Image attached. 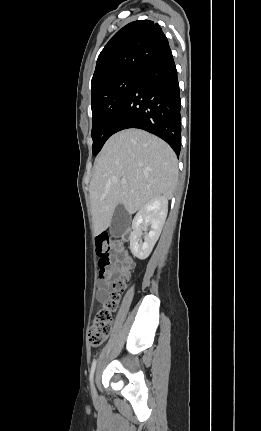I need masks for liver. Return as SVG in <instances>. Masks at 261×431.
<instances>
[{"label":"liver","instance_id":"6515ba94","mask_svg":"<svg viewBox=\"0 0 261 431\" xmlns=\"http://www.w3.org/2000/svg\"><path fill=\"white\" fill-rule=\"evenodd\" d=\"M177 184V158L165 141L134 128L112 135L95 159L89 186L94 234L109 227L118 205L134 214L158 196L171 199Z\"/></svg>","mask_w":261,"mask_h":431}]
</instances>
